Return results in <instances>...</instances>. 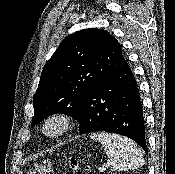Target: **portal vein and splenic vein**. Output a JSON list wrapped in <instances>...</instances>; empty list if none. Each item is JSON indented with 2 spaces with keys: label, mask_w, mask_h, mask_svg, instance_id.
Wrapping results in <instances>:
<instances>
[{
  "label": "portal vein and splenic vein",
  "mask_w": 175,
  "mask_h": 174,
  "mask_svg": "<svg viewBox=\"0 0 175 174\" xmlns=\"http://www.w3.org/2000/svg\"><path fill=\"white\" fill-rule=\"evenodd\" d=\"M107 166H102V167H99V172H104L106 170Z\"/></svg>",
  "instance_id": "portal-vein-and-splenic-vein-1"
}]
</instances>
